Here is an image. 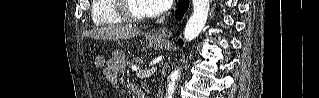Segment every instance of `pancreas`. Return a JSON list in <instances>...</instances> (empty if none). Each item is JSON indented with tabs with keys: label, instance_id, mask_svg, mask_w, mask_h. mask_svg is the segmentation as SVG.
I'll return each mask as SVG.
<instances>
[{
	"label": "pancreas",
	"instance_id": "1",
	"mask_svg": "<svg viewBox=\"0 0 319 98\" xmlns=\"http://www.w3.org/2000/svg\"><path fill=\"white\" fill-rule=\"evenodd\" d=\"M143 62L142 58H133L130 62L129 65L132 66L133 64L139 65Z\"/></svg>",
	"mask_w": 319,
	"mask_h": 98
}]
</instances>
